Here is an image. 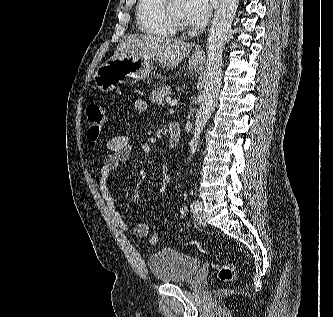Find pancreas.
I'll return each instance as SVG.
<instances>
[{
  "mask_svg": "<svg viewBox=\"0 0 333 317\" xmlns=\"http://www.w3.org/2000/svg\"><path fill=\"white\" fill-rule=\"evenodd\" d=\"M170 94H171L170 86L166 85L159 86L156 87L154 90H152L150 95V100L158 105H164V97H168Z\"/></svg>",
  "mask_w": 333,
  "mask_h": 317,
  "instance_id": "1",
  "label": "pancreas"
}]
</instances>
